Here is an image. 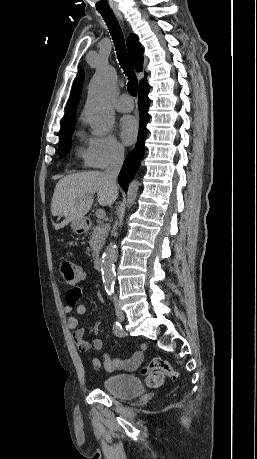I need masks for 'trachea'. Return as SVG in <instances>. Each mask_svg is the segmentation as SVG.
Instances as JSON below:
<instances>
[{
    "label": "trachea",
    "mask_w": 257,
    "mask_h": 459,
    "mask_svg": "<svg viewBox=\"0 0 257 459\" xmlns=\"http://www.w3.org/2000/svg\"><path fill=\"white\" fill-rule=\"evenodd\" d=\"M101 16L103 17L110 34L113 39V43L115 46V50L117 53V58L119 60V64L121 68L124 70L125 75L128 77V92L132 96H137L138 91V81L134 69L130 63L128 53L126 50L124 35L120 28V25L114 16L112 11H99Z\"/></svg>",
    "instance_id": "1"
}]
</instances>
